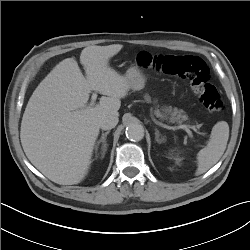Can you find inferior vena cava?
Returning a JSON list of instances; mask_svg holds the SVG:
<instances>
[{
  "mask_svg": "<svg viewBox=\"0 0 250 250\" xmlns=\"http://www.w3.org/2000/svg\"><path fill=\"white\" fill-rule=\"evenodd\" d=\"M118 124V117L114 115L104 116L99 120V127L102 130H110Z\"/></svg>",
  "mask_w": 250,
  "mask_h": 250,
  "instance_id": "inferior-vena-cava-1",
  "label": "inferior vena cava"
}]
</instances>
